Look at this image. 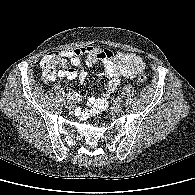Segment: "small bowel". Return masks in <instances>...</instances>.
<instances>
[{
    "label": "small bowel",
    "instance_id": "small-bowel-1",
    "mask_svg": "<svg viewBox=\"0 0 195 195\" xmlns=\"http://www.w3.org/2000/svg\"><path fill=\"white\" fill-rule=\"evenodd\" d=\"M75 68H69L60 77L68 80H78L83 83L87 79V71L82 67V57L87 66L102 64L103 75L107 78L108 84L105 92L99 97H88L89 107L77 109L76 115L86 120L105 111L109 105L110 98L119 89L124 78H135L142 74L146 68L145 62L136 53L118 52L114 53L108 49L97 47H81L61 52Z\"/></svg>",
    "mask_w": 195,
    "mask_h": 195
}]
</instances>
